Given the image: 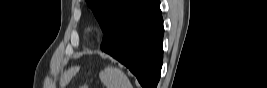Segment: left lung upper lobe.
Instances as JSON below:
<instances>
[{
	"label": "left lung upper lobe",
	"mask_w": 267,
	"mask_h": 88,
	"mask_svg": "<svg viewBox=\"0 0 267 88\" xmlns=\"http://www.w3.org/2000/svg\"><path fill=\"white\" fill-rule=\"evenodd\" d=\"M140 0H86L103 33H106L118 18Z\"/></svg>",
	"instance_id": "left-lung-upper-lobe-1"
}]
</instances>
